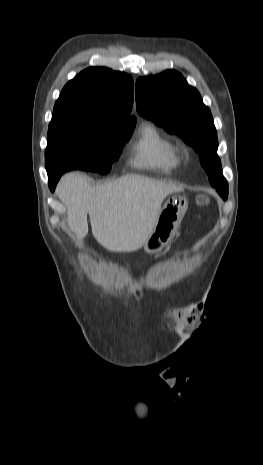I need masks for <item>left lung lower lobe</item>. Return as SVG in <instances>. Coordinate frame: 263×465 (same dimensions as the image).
<instances>
[{
	"mask_svg": "<svg viewBox=\"0 0 263 465\" xmlns=\"http://www.w3.org/2000/svg\"><path fill=\"white\" fill-rule=\"evenodd\" d=\"M202 166L205 168L209 179L214 183V176L221 172V164L217 158L213 157H202L201 159Z\"/></svg>",
	"mask_w": 263,
	"mask_h": 465,
	"instance_id": "obj_1",
	"label": "left lung lower lobe"
}]
</instances>
